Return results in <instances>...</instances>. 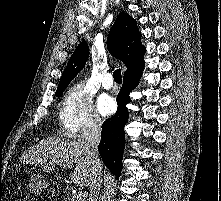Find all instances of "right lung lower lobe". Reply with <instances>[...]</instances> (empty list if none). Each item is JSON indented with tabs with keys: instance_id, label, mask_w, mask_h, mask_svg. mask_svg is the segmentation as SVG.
<instances>
[{
	"instance_id": "1",
	"label": "right lung lower lobe",
	"mask_w": 221,
	"mask_h": 201,
	"mask_svg": "<svg viewBox=\"0 0 221 201\" xmlns=\"http://www.w3.org/2000/svg\"><path fill=\"white\" fill-rule=\"evenodd\" d=\"M142 69L124 75L122 88L117 96V112L102 126L98 151L106 167L119 178L122 170V157L125 145L124 126L128 121L126 104L130 103L129 93L136 87L142 76Z\"/></svg>"
}]
</instances>
